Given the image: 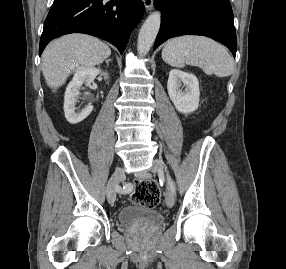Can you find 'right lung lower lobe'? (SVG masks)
Listing matches in <instances>:
<instances>
[{
    "instance_id": "98d812e1",
    "label": "right lung lower lobe",
    "mask_w": 286,
    "mask_h": 269,
    "mask_svg": "<svg viewBox=\"0 0 286 269\" xmlns=\"http://www.w3.org/2000/svg\"><path fill=\"white\" fill-rule=\"evenodd\" d=\"M143 11L142 0H54L44 22L39 55L52 39L69 33L97 36L123 53Z\"/></svg>"
}]
</instances>
